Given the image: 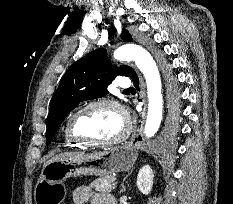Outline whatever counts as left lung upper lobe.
Returning <instances> with one entry per match:
<instances>
[{
  "label": "left lung upper lobe",
  "instance_id": "obj_1",
  "mask_svg": "<svg viewBox=\"0 0 233 204\" xmlns=\"http://www.w3.org/2000/svg\"><path fill=\"white\" fill-rule=\"evenodd\" d=\"M121 37L125 41H132L131 35L123 29ZM136 74L129 66L113 67L105 49H96L75 62L63 76L56 92L52 97L48 121L46 142L50 144L55 132L65 117L78 105V103L108 94L107 87L116 76L132 77ZM177 94L174 89L170 91L171 116L176 117Z\"/></svg>",
  "mask_w": 233,
  "mask_h": 204
}]
</instances>
